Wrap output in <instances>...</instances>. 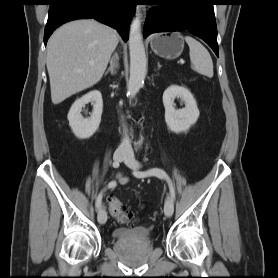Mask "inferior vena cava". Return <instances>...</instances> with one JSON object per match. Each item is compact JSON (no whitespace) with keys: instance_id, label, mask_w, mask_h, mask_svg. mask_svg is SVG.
<instances>
[{"instance_id":"inferior-vena-cava-1","label":"inferior vena cava","mask_w":278,"mask_h":278,"mask_svg":"<svg viewBox=\"0 0 278 278\" xmlns=\"http://www.w3.org/2000/svg\"><path fill=\"white\" fill-rule=\"evenodd\" d=\"M117 151L120 153H123V154H132L133 153L129 137L126 134L124 135Z\"/></svg>"}]
</instances>
